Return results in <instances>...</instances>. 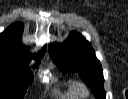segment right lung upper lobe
Wrapping results in <instances>:
<instances>
[{
  "mask_svg": "<svg viewBox=\"0 0 128 99\" xmlns=\"http://www.w3.org/2000/svg\"><path fill=\"white\" fill-rule=\"evenodd\" d=\"M22 25L12 24L0 34V58L19 57L29 58V53L25 46L20 43ZM45 50L40 51L39 56H43ZM38 56V57H39Z\"/></svg>",
  "mask_w": 128,
  "mask_h": 99,
  "instance_id": "obj_1",
  "label": "right lung upper lobe"
}]
</instances>
